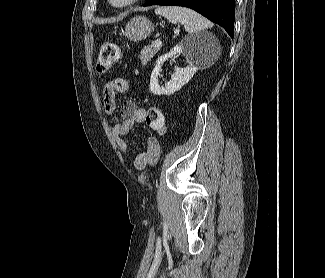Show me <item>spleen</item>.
Segmentation results:
<instances>
[{"label": "spleen", "instance_id": "spleen-1", "mask_svg": "<svg viewBox=\"0 0 325 278\" xmlns=\"http://www.w3.org/2000/svg\"><path fill=\"white\" fill-rule=\"evenodd\" d=\"M155 14L162 15L171 23L184 25L188 33H196L212 27V23L197 12L178 6H161L155 9Z\"/></svg>", "mask_w": 325, "mask_h": 278}]
</instances>
